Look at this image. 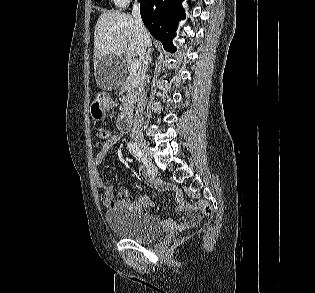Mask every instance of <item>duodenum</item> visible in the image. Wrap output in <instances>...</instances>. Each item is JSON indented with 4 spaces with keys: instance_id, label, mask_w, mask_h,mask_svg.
<instances>
[{
    "instance_id": "duodenum-1",
    "label": "duodenum",
    "mask_w": 315,
    "mask_h": 293,
    "mask_svg": "<svg viewBox=\"0 0 315 293\" xmlns=\"http://www.w3.org/2000/svg\"><path fill=\"white\" fill-rule=\"evenodd\" d=\"M132 125V114L129 111L123 112L118 120V127L122 131L130 130Z\"/></svg>"
}]
</instances>
